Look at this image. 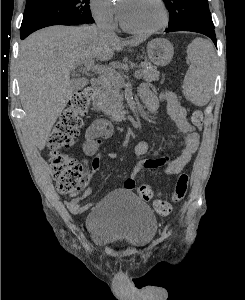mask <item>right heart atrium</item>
<instances>
[{
    "instance_id": "d8ad5b80",
    "label": "right heart atrium",
    "mask_w": 245,
    "mask_h": 300,
    "mask_svg": "<svg viewBox=\"0 0 245 300\" xmlns=\"http://www.w3.org/2000/svg\"><path fill=\"white\" fill-rule=\"evenodd\" d=\"M90 9L94 19L109 28L117 24V8L111 0H90Z\"/></svg>"
}]
</instances>
